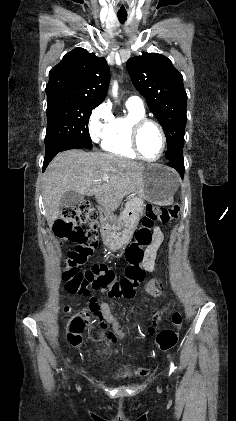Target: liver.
<instances>
[{
    "label": "liver",
    "mask_w": 236,
    "mask_h": 421,
    "mask_svg": "<svg viewBox=\"0 0 236 421\" xmlns=\"http://www.w3.org/2000/svg\"><path fill=\"white\" fill-rule=\"evenodd\" d=\"M144 166L106 152L64 150L48 164L42 184L45 217L51 229L59 217L60 200L67 190L95 194L102 213H113L126 194L144 196ZM108 174V180H102Z\"/></svg>",
    "instance_id": "6515ba94"
}]
</instances>
